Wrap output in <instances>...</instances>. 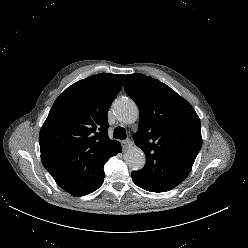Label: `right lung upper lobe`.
<instances>
[{
    "mask_svg": "<svg viewBox=\"0 0 248 248\" xmlns=\"http://www.w3.org/2000/svg\"><path fill=\"white\" fill-rule=\"evenodd\" d=\"M124 75L100 73L69 86L54 102L39 135L41 159L68 193H90L120 143L108 137L107 112Z\"/></svg>",
    "mask_w": 248,
    "mask_h": 248,
    "instance_id": "1",
    "label": "right lung upper lobe"
}]
</instances>
